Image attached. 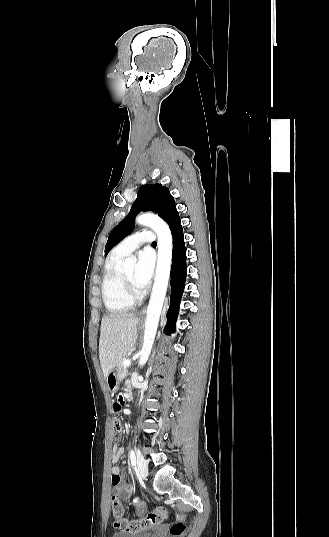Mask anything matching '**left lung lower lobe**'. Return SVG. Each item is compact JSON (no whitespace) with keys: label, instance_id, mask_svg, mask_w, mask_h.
Masks as SVG:
<instances>
[{"label":"left lung lower lobe","instance_id":"obj_1","mask_svg":"<svg viewBox=\"0 0 329 537\" xmlns=\"http://www.w3.org/2000/svg\"><path fill=\"white\" fill-rule=\"evenodd\" d=\"M173 251H172V266H171V297L170 308L167 317L171 318L168 321L165 331L167 333L174 332L175 320L178 313L180 299L185 287V277L187 274L186 266V248L182 225L179 224L173 229Z\"/></svg>","mask_w":329,"mask_h":537}]
</instances>
